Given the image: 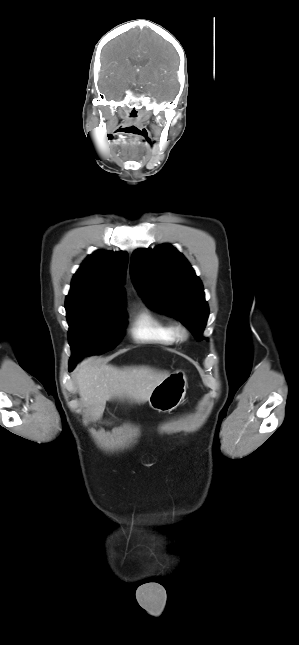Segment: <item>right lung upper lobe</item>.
<instances>
[{
  "instance_id": "1",
  "label": "right lung upper lobe",
  "mask_w": 299,
  "mask_h": 645,
  "mask_svg": "<svg viewBox=\"0 0 299 645\" xmlns=\"http://www.w3.org/2000/svg\"><path fill=\"white\" fill-rule=\"evenodd\" d=\"M128 254L96 251L74 274L65 305L124 306V273Z\"/></svg>"
}]
</instances>
